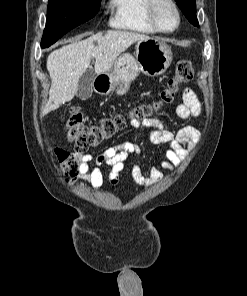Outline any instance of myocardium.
Wrapping results in <instances>:
<instances>
[{"instance_id":"myocardium-1","label":"myocardium","mask_w":247,"mask_h":296,"mask_svg":"<svg viewBox=\"0 0 247 296\" xmlns=\"http://www.w3.org/2000/svg\"><path fill=\"white\" fill-rule=\"evenodd\" d=\"M162 3L168 4L173 9L175 16H176V24L174 25L173 28L168 29V30L163 29L160 26L158 18H157V9H158L159 5ZM147 16H148V19H149L151 25L154 27V29L160 33H166V34L172 33L179 28L180 23H181L180 11H179V8L174 0H149V4L147 7Z\"/></svg>"}]
</instances>
